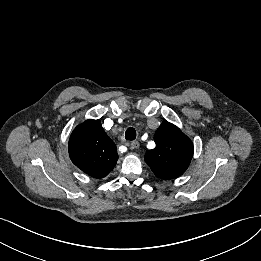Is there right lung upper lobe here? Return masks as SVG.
I'll return each instance as SVG.
<instances>
[{
	"instance_id": "1",
	"label": "right lung upper lobe",
	"mask_w": 261,
	"mask_h": 261,
	"mask_svg": "<svg viewBox=\"0 0 261 261\" xmlns=\"http://www.w3.org/2000/svg\"><path fill=\"white\" fill-rule=\"evenodd\" d=\"M68 150L71 161L96 179L107 176L118 160L116 145L100 120H88L77 126L70 136Z\"/></svg>"
}]
</instances>
